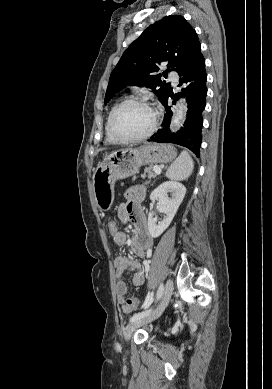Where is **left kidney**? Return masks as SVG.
<instances>
[{
    "instance_id": "1",
    "label": "left kidney",
    "mask_w": 272,
    "mask_h": 389,
    "mask_svg": "<svg viewBox=\"0 0 272 389\" xmlns=\"http://www.w3.org/2000/svg\"><path fill=\"white\" fill-rule=\"evenodd\" d=\"M168 192H171V197L168 196ZM185 194V186L176 181L164 182L151 193L150 200H158V211L164 213L163 219L157 223L154 213L149 212L148 230L153 238L159 237L169 227Z\"/></svg>"
}]
</instances>
